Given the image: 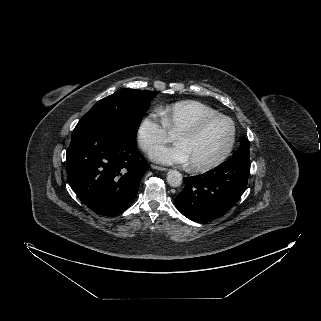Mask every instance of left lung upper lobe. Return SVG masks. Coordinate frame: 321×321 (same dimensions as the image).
<instances>
[{"label": "left lung upper lobe", "mask_w": 321, "mask_h": 321, "mask_svg": "<svg viewBox=\"0 0 321 321\" xmlns=\"http://www.w3.org/2000/svg\"><path fill=\"white\" fill-rule=\"evenodd\" d=\"M249 148H250L249 141H243L241 143L238 151L236 153H234V154L244 155V156L250 157Z\"/></svg>", "instance_id": "5c2ea615"}]
</instances>
